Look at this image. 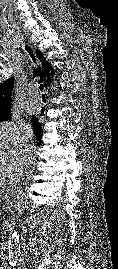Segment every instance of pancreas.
<instances>
[{
	"label": "pancreas",
	"mask_w": 118,
	"mask_h": 269,
	"mask_svg": "<svg viewBox=\"0 0 118 269\" xmlns=\"http://www.w3.org/2000/svg\"><path fill=\"white\" fill-rule=\"evenodd\" d=\"M1 194V193H0ZM1 196V195H0ZM7 205L9 206L10 205V200H7Z\"/></svg>",
	"instance_id": "cf45deb5"
}]
</instances>
